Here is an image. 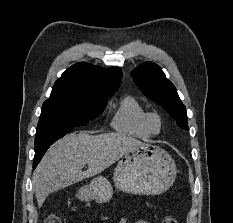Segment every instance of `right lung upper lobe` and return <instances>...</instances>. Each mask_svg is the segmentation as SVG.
<instances>
[{
  "label": "right lung upper lobe",
  "instance_id": "right-lung-upper-lobe-1",
  "mask_svg": "<svg viewBox=\"0 0 233 223\" xmlns=\"http://www.w3.org/2000/svg\"><path fill=\"white\" fill-rule=\"evenodd\" d=\"M121 78L120 68L102 69L85 62L77 63L55 82L50 98L106 102L119 88Z\"/></svg>",
  "mask_w": 233,
  "mask_h": 223
}]
</instances>
